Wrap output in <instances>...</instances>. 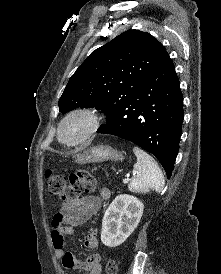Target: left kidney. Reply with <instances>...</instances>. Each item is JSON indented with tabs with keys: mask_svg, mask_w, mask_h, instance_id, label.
<instances>
[{
	"mask_svg": "<svg viewBox=\"0 0 221 274\" xmlns=\"http://www.w3.org/2000/svg\"><path fill=\"white\" fill-rule=\"evenodd\" d=\"M143 203L136 197L118 195L107 208L101 229V241L108 247L121 245L136 229L143 214Z\"/></svg>",
	"mask_w": 221,
	"mask_h": 274,
	"instance_id": "obj_1",
	"label": "left kidney"
}]
</instances>
